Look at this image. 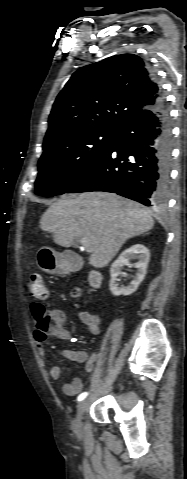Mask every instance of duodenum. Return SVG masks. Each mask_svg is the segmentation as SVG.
I'll list each match as a JSON object with an SVG mask.
<instances>
[{
    "label": "duodenum",
    "mask_w": 187,
    "mask_h": 479,
    "mask_svg": "<svg viewBox=\"0 0 187 479\" xmlns=\"http://www.w3.org/2000/svg\"><path fill=\"white\" fill-rule=\"evenodd\" d=\"M65 258L70 268L75 269L79 266V263L76 259L70 256H66ZM89 282L92 287H95V288L99 287L102 283V276L100 272L93 271L90 275Z\"/></svg>",
    "instance_id": "obj_1"
}]
</instances>
